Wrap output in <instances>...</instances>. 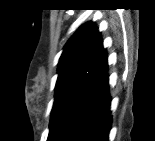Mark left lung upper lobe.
Returning a JSON list of instances; mask_svg holds the SVG:
<instances>
[{
    "label": "left lung upper lobe",
    "instance_id": "5c2ea615",
    "mask_svg": "<svg viewBox=\"0 0 155 141\" xmlns=\"http://www.w3.org/2000/svg\"><path fill=\"white\" fill-rule=\"evenodd\" d=\"M94 22L82 25L66 43L58 65L48 141H57L64 118L91 81L105 55Z\"/></svg>",
    "mask_w": 155,
    "mask_h": 141
}]
</instances>
